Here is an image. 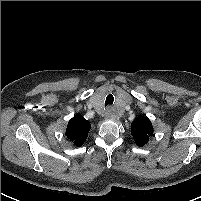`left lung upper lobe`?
<instances>
[{"label": "left lung upper lobe", "mask_w": 201, "mask_h": 201, "mask_svg": "<svg viewBox=\"0 0 201 201\" xmlns=\"http://www.w3.org/2000/svg\"><path fill=\"white\" fill-rule=\"evenodd\" d=\"M152 133V124L150 120L144 116L138 117L131 124V134L138 146L145 145L148 142L149 136H151Z\"/></svg>", "instance_id": "obj_1"}]
</instances>
